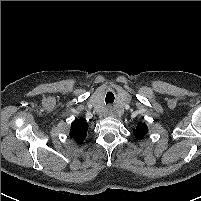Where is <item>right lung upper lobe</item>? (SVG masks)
<instances>
[{
	"label": "right lung upper lobe",
	"mask_w": 201,
	"mask_h": 201,
	"mask_svg": "<svg viewBox=\"0 0 201 201\" xmlns=\"http://www.w3.org/2000/svg\"><path fill=\"white\" fill-rule=\"evenodd\" d=\"M88 124L82 119H76L71 124L70 137L77 143H82L87 135Z\"/></svg>",
	"instance_id": "1"
}]
</instances>
